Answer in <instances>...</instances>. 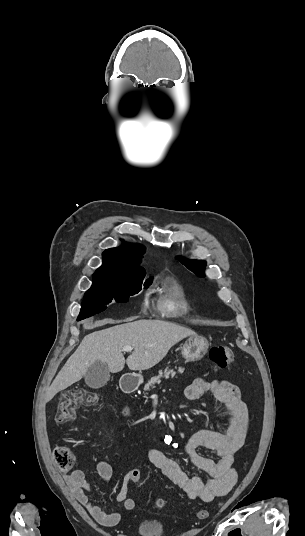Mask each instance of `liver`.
<instances>
[{
	"instance_id": "6515ba94",
	"label": "liver",
	"mask_w": 305,
	"mask_h": 536,
	"mask_svg": "<svg viewBox=\"0 0 305 536\" xmlns=\"http://www.w3.org/2000/svg\"><path fill=\"white\" fill-rule=\"evenodd\" d=\"M128 318L129 324L113 326L101 332H93L83 338L76 352L70 356L58 376L45 392V402H50L58 392L66 390L82 380L87 368L95 362H106L109 372H121L125 362L129 370H149L165 358L172 346L188 336H196L193 330L162 322V320H137ZM104 324H116L115 320H102ZM132 346L134 352L124 358L121 350Z\"/></svg>"
}]
</instances>
